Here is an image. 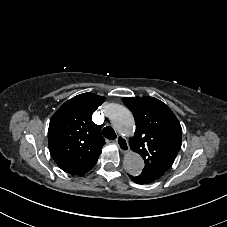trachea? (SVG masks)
Here are the masks:
<instances>
[{
  "mask_svg": "<svg viewBox=\"0 0 227 227\" xmlns=\"http://www.w3.org/2000/svg\"><path fill=\"white\" fill-rule=\"evenodd\" d=\"M102 134L105 138H107L109 140L116 139V133H115L114 129L110 126L104 127L102 130Z\"/></svg>",
  "mask_w": 227,
  "mask_h": 227,
  "instance_id": "1",
  "label": "trachea"
}]
</instances>
